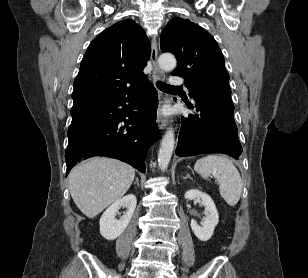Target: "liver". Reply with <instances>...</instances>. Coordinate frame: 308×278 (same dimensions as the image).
Masks as SVG:
<instances>
[{"mask_svg":"<svg viewBox=\"0 0 308 278\" xmlns=\"http://www.w3.org/2000/svg\"><path fill=\"white\" fill-rule=\"evenodd\" d=\"M134 176L135 169L124 162L94 157L71 170L69 191L80 211L93 218L124 196Z\"/></svg>","mask_w":308,"mask_h":278,"instance_id":"6515ba94","label":"liver"}]
</instances>
